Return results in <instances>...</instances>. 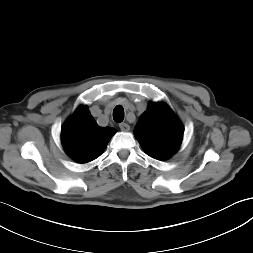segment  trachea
Segmentation results:
<instances>
[{"label":"trachea","mask_w":253,"mask_h":253,"mask_svg":"<svg viewBox=\"0 0 253 253\" xmlns=\"http://www.w3.org/2000/svg\"><path fill=\"white\" fill-rule=\"evenodd\" d=\"M113 119L115 122H122L124 120V109L121 105H117L113 110Z\"/></svg>","instance_id":"3493384b"}]
</instances>
